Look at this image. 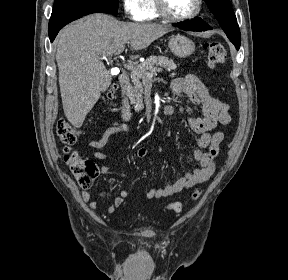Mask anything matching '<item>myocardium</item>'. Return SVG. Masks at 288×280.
Returning <instances> with one entry per match:
<instances>
[{"instance_id": "f54148a6", "label": "myocardium", "mask_w": 288, "mask_h": 280, "mask_svg": "<svg viewBox=\"0 0 288 280\" xmlns=\"http://www.w3.org/2000/svg\"><path fill=\"white\" fill-rule=\"evenodd\" d=\"M155 4H156L157 13L162 18L168 21H172V22H184V21L192 20L199 15L202 9L203 0H196L195 9L191 13L185 16L172 15L166 7L165 0H155Z\"/></svg>"}]
</instances>
